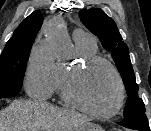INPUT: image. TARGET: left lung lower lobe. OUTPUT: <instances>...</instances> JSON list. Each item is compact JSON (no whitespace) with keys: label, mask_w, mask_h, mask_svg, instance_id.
<instances>
[{"label":"left lung lower lobe","mask_w":151,"mask_h":131,"mask_svg":"<svg viewBox=\"0 0 151 131\" xmlns=\"http://www.w3.org/2000/svg\"><path fill=\"white\" fill-rule=\"evenodd\" d=\"M119 124L126 128L135 129L138 131H150L148 119L146 118L145 114L126 118Z\"/></svg>","instance_id":"obj_1"}]
</instances>
